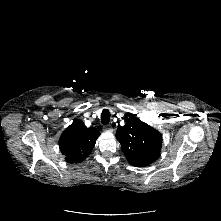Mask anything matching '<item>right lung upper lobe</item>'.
Masks as SVG:
<instances>
[{
	"instance_id": "cb5924a9",
	"label": "right lung upper lobe",
	"mask_w": 221,
	"mask_h": 221,
	"mask_svg": "<svg viewBox=\"0 0 221 221\" xmlns=\"http://www.w3.org/2000/svg\"><path fill=\"white\" fill-rule=\"evenodd\" d=\"M100 135L95 128H87L81 120H75L59 139L61 153L69 163L84 161L91 153Z\"/></svg>"
}]
</instances>
